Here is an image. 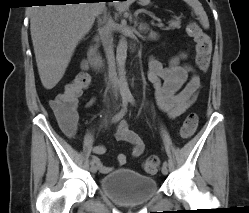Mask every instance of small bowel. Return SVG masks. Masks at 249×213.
I'll use <instances>...</instances> for the list:
<instances>
[{
    "instance_id": "c3829d8e",
    "label": "small bowel",
    "mask_w": 249,
    "mask_h": 213,
    "mask_svg": "<svg viewBox=\"0 0 249 213\" xmlns=\"http://www.w3.org/2000/svg\"><path fill=\"white\" fill-rule=\"evenodd\" d=\"M186 54L180 53L171 59L169 65L164 66L158 59L151 57L148 66V79L155 88V100L158 108L166 113L170 119H176L184 114L195 101L197 93L201 87V81L194 69L187 63H182ZM95 103V98H91L87 106ZM64 132L68 136L75 133L76 122L71 125L61 123ZM115 138L132 145L131 155L134 158L140 157L145 150L143 138L137 132L129 127L126 120L120 121L115 130ZM93 159L102 173H109L112 168L101 163L100 155L104 154L106 149L103 145L92 147ZM127 156L123 153L118 154L117 163L124 165Z\"/></svg>"
}]
</instances>
